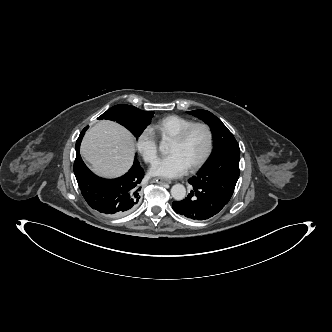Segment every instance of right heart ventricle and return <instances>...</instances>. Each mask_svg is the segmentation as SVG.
<instances>
[{
	"label": "right heart ventricle",
	"instance_id": "obj_1",
	"mask_svg": "<svg viewBox=\"0 0 332 332\" xmlns=\"http://www.w3.org/2000/svg\"><path fill=\"white\" fill-rule=\"evenodd\" d=\"M194 122L192 119L181 115H168L159 119L151 130L162 139H172L183 128Z\"/></svg>",
	"mask_w": 332,
	"mask_h": 332
}]
</instances>
